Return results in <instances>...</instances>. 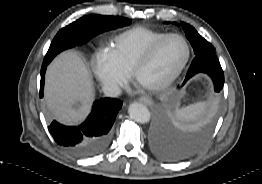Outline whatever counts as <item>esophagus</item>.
<instances>
[{"label":"esophagus","instance_id":"obj_1","mask_svg":"<svg viewBox=\"0 0 262 184\" xmlns=\"http://www.w3.org/2000/svg\"><path fill=\"white\" fill-rule=\"evenodd\" d=\"M139 102L147 106H151L153 104V100L150 97H146V96L139 98Z\"/></svg>","mask_w":262,"mask_h":184}]
</instances>
